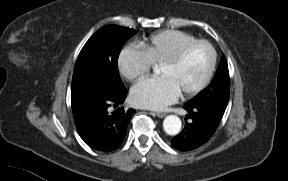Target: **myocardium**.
Segmentation results:
<instances>
[{"label":"myocardium","instance_id":"1","mask_svg":"<svg viewBox=\"0 0 288 181\" xmlns=\"http://www.w3.org/2000/svg\"><path fill=\"white\" fill-rule=\"evenodd\" d=\"M198 45H205L207 46L210 50H211V53H212V61H211V65H210V68L206 74V76L204 77V79L196 86L190 88V89H187V90H184L181 92V94L183 96H190V95H194V94H197L199 92H201L203 89H205L208 84L210 83L214 73H215V70H216V66H217V61H218V53H217V50L215 48V46L207 41V40H195L191 43H188L184 46H182L179 50H177L172 56L162 60L159 65H166V66H173V65H176L178 64L182 59L183 57L194 47L198 46Z\"/></svg>","mask_w":288,"mask_h":181}]
</instances>
